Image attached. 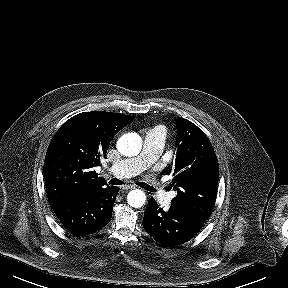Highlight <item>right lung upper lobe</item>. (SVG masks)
<instances>
[{
  "instance_id": "cb5924a9",
  "label": "right lung upper lobe",
  "mask_w": 288,
  "mask_h": 288,
  "mask_svg": "<svg viewBox=\"0 0 288 288\" xmlns=\"http://www.w3.org/2000/svg\"><path fill=\"white\" fill-rule=\"evenodd\" d=\"M133 119L120 113L83 112L59 128L48 147L43 170L50 204L107 185L94 167L106 156L114 136Z\"/></svg>"
}]
</instances>
